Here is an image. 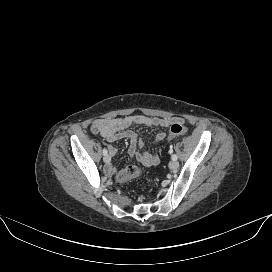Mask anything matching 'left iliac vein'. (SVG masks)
Segmentation results:
<instances>
[{"mask_svg":"<svg viewBox=\"0 0 272 272\" xmlns=\"http://www.w3.org/2000/svg\"><path fill=\"white\" fill-rule=\"evenodd\" d=\"M178 166H179V163H178L176 160H172V161L169 163V168L172 169V170L177 169Z\"/></svg>","mask_w":272,"mask_h":272,"instance_id":"1","label":"left iliac vein"}]
</instances>
